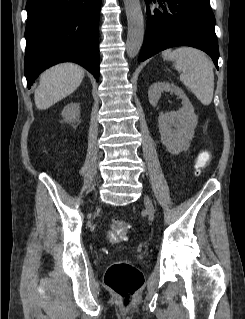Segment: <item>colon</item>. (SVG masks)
Segmentation results:
<instances>
[{
	"label": "colon",
	"mask_w": 245,
	"mask_h": 319,
	"mask_svg": "<svg viewBox=\"0 0 245 319\" xmlns=\"http://www.w3.org/2000/svg\"><path fill=\"white\" fill-rule=\"evenodd\" d=\"M211 159L208 152L199 155L197 172L206 168ZM130 230V226L123 220H113L110 223V237L113 241H123ZM104 284L123 303L130 304L143 285V275L134 265L126 261L113 262L104 276Z\"/></svg>",
	"instance_id": "5ec220e1"
}]
</instances>
